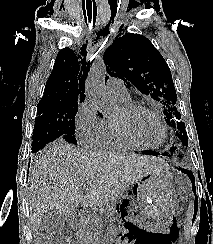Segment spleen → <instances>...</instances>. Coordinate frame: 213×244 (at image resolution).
I'll list each match as a JSON object with an SVG mask.
<instances>
[{
    "label": "spleen",
    "mask_w": 213,
    "mask_h": 244,
    "mask_svg": "<svg viewBox=\"0 0 213 244\" xmlns=\"http://www.w3.org/2000/svg\"><path fill=\"white\" fill-rule=\"evenodd\" d=\"M193 215H194V202L191 200L189 202V206L186 214L185 226H184V235L186 237H188L190 234V227H191Z\"/></svg>",
    "instance_id": "3e777b00"
}]
</instances>
